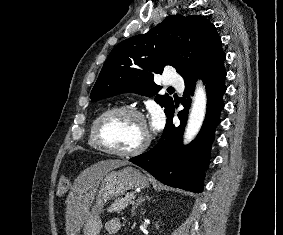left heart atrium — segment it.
<instances>
[{"label": "left heart atrium", "mask_w": 283, "mask_h": 235, "mask_svg": "<svg viewBox=\"0 0 283 235\" xmlns=\"http://www.w3.org/2000/svg\"><path fill=\"white\" fill-rule=\"evenodd\" d=\"M151 126H152L153 129H158V128H160V126H161L160 120H159L158 118H154V119L152 120Z\"/></svg>", "instance_id": "left-heart-atrium-1"}]
</instances>
